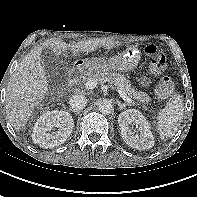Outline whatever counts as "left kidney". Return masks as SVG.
Wrapping results in <instances>:
<instances>
[{
    "mask_svg": "<svg viewBox=\"0 0 197 197\" xmlns=\"http://www.w3.org/2000/svg\"><path fill=\"white\" fill-rule=\"evenodd\" d=\"M118 124L124 142L138 150L150 149L154 146V136L144 115L136 109H128L118 117ZM136 125L140 135L134 134L130 125Z\"/></svg>",
    "mask_w": 197,
    "mask_h": 197,
    "instance_id": "left-kidney-1",
    "label": "left kidney"
}]
</instances>
